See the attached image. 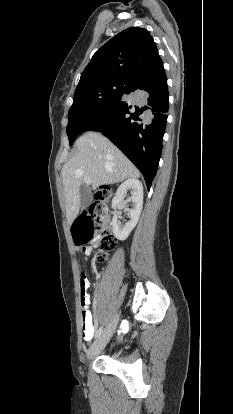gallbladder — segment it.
Here are the masks:
<instances>
[{"instance_id": "gallbladder-1", "label": "gallbladder", "mask_w": 233, "mask_h": 414, "mask_svg": "<svg viewBox=\"0 0 233 414\" xmlns=\"http://www.w3.org/2000/svg\"><path fill=\"white\" fill-rule=\"evenodd\" d=\"M92 201V195L90 187L86 184H82L80 188V207L82 209L87 208Z\"/></svg>"}]
</instances>
